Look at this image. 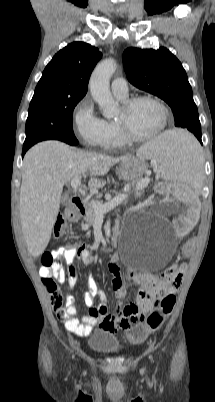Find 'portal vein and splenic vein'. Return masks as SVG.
Returning a JSON list of instances; mask_svg holds the SVG:
<instances>
[{
  "label": "portal vein and splenic vein",
  "mask_w": 215,
  "mask_h": 402,
  "mask_svg": "<svg viewBox=\"0 0 215 402\" xmlns=\"http://www.w3.org/2000/svg\"><path fill=\"white\" fill-rule=\"evenodd\" d=\"M149 182V179H145L143 182L137 185V188L145 187ZM71 186L74 190H78L82 195L85 194V190L81 188V177H76L71 180ZM127 197V194H120L113 198L111 201L101 204L95 200H91V205L94 208L96 216H103L105 213L109 212L111 209L115 208L117 205L122 203Z\"/></svg>",
  "instance_id": "obj_1"
}]
</instances>
